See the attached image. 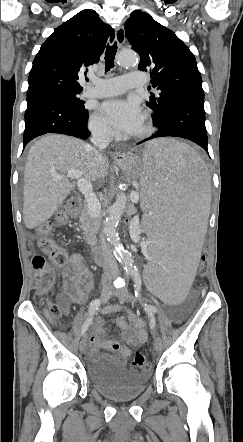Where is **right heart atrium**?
I'll list each match as a JSON object with an SVG mask.
<instances>
[{"label": "right heart atrium", "mask_w": 243, "mask_h": 442, "mask_svg": "<svg viewBox=\"0 0 243 442\" xmlns=\"http://www.w3.org/2000/svg\"><path fill=\"white\" fill-rule=\"evenodd\" d=\"M89 129L91 132L102 138H112L114 132L105 120L97 113L92 114L89 120Z\"/></svg>", "instance_id": "obj_1"}]
</instances>
